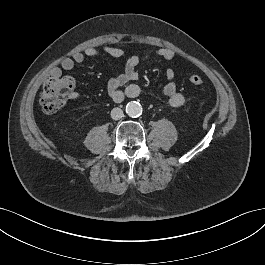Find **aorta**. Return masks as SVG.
Returning a JSON list of instances; mask_svg holds the SVG:
<instances>
[{
	"label": "aorta",
	"instance_id": "762f6f07",
	"mask_svg": "<svg viewBox=\"0 0 265 265\" xmlns=\"http://www.w3.org/2000/svg\"><path fill=\"white\" fill-rule=\"evenodd\" d=\"M126 113L130 117H138L142 114V106L136 101H131L126 105Z\"/></svg>",
	"mask_w": 265,
	"mask_h": 265
}]
</instances>
